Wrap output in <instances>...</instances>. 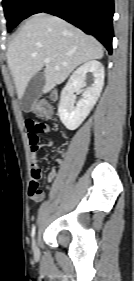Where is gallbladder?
I'll list each match as a JSON object with an SVG mask.
<instances>
[{
  "mask_svg": "<svg viewBox=\"0 0 134 281\" xmlns=\"http://www.w3.org/2000/svg\"><path fill=\"white\" fill-rule=\"evenodd\" d=\"M45 83L46 79L44 76V72L42 71L36 73L31 78L26 87L23 97L21 98V107L23 111L30 112L32 110L33 104L40 97Z\"/></svg>",
  "mask_w": 134,
  "mask_h": 281,
  "instance_id": "1",
  "label": "gallbladder"
}]
</instances>
